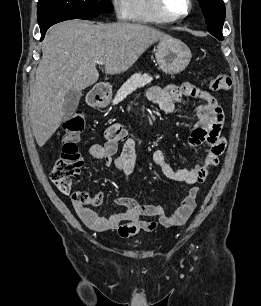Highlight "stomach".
Listing matches in <instances>:
<instances>
[{
    "instance_id": "0dacf381",
    "label": "stomach",
    "mask_w": 261,
    "mask_h": 306,
    "mask_svg": "<svg viewBox=\"0 0 261 306\" xmlns=\"http://www.w3.org/2000/svg\"><path fill=\"white\" fill-rule=\"evenodd\" d=\"M155 57L159 68L167 74H179L189 64L192 54L181 40L169 37L161 39L156 48ZM108 100H103L101 106H106Z\"/></svg>"
}]
</instances>
